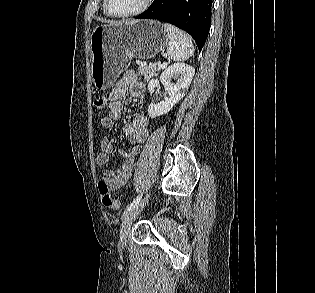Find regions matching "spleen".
Masks as SVG:
<instances>
[{"label":"spleen","instance_id":"obj_1","mask_svg":"<svg viewBox=\"0 0 315 293\" xmlns=\"http://www.w3.org/2000/svg\"><path fill=\"white\" fill-rule=\"evenodd\" d=\"M164 29L170 41L167 55L171 60L185 61L194 55L195 49L189 35L168 23L164 24Z\"/></svg>","mask_w":315,"mask_h":293}]
</instances>
